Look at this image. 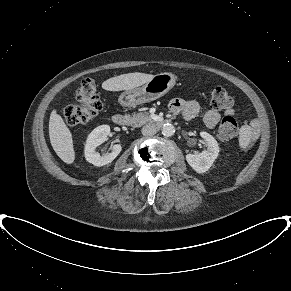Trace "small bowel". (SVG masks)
<instances>
[{
  "instance_id": "obj_1",
  "label": "small bowel",
  "mask_w": 291,
  "mask_h": 291,
  "mask_svg": "<svg viewBox=\"0 0 291 291\" xmlns=\"http://www.w3.org/2000/svg\"><path fill=\"white\" fill-rule=\"evenodd\" d=\"M169 108L174 113H182V116L185 120L189 121L194 119L196 116H198L200 112V104L195 100H184V99H173L170 104ZM233 109L228 108L225 111V115H232ZM204 123L205 125L213 129L217 126L221 119V114L215 110H207L204 113ZM251 131H252V137H256L258 134V125L252 123L250 125Z\"/></svg>"
}]
</instances>
